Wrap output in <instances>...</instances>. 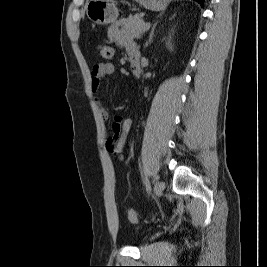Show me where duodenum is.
<instances>
[{"mask_svg": "<svg viewBox=\"0 0 267 267\" xmlns=\"http://www.w3.org/2000/svg\"><path fill=\"white\" fill-rule=\"evenodd\" d=\"M131 71L134 76L138 77L141 74V62L139 57H133L130 59Z\"/></svg>", "mask_w": 267, "mask_h": 267, "instance_id": "1", "label": "duodenum"}]
</instances>
